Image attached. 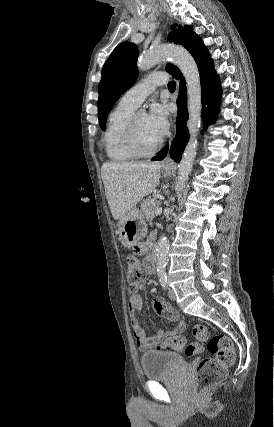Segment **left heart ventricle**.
Here are the masks:
<instances>
[{
	"label": "left heart ventricle",
	"instance_id": "b2bd125f",
	"mask_svg": "<svg viewBox=\"0 0 274 427\" xmlns=\"http://www.w3.org/2000/svg\"><path fill=\"white\" fill-rule=\"evenodd\" d=\"M136 120L139 147L143 151H148L157 145L161 138L150 131L146 113L137 114Z\"/></svg>",
	"mask_w": 274,
	"mask_h": 427
}]
</instances>
